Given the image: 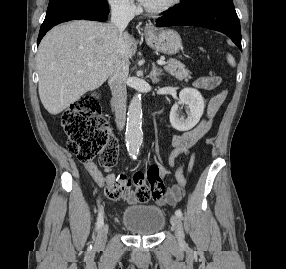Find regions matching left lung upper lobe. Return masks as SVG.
Returning a JSON list of instances; mask_svg holds the SVG:
<instances>
[{
    "label": "left lung upper lobe",
    "mask_w": 286,
    "mask_h": 269,
    "mask_svg": "<svg viewBox=\"0 0 286 269\" xmlns=\"http://www.w3.org/2000/svg\"><path fill=\"white\" fill-rule=\"evenodd\" d=\"M203 4H233L232 0H180V5L178 7H173L170 9L177 8L179 10H187Z\"/></svg>",
    "instance_id": "left-lung-upper-lobe-1"
}]
</instances>
